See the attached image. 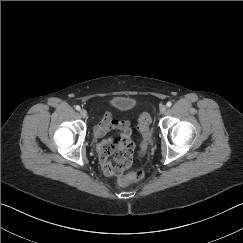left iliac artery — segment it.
<instances>
[{
  "label": "left iliac artery",
  "instance_id": "obj_1",
  "mask_svg": "<svg viewBox=\"0 0 243 243\" xmlns=\"http://www.w3.org/2000/svg\"><path fill=\"white\" fill-rule=\"evenodd\" d=\"M166 106L167 107H171L172 106V103L169 101V102H167Z\"/></svg>",
  "mask_w": 243,
  "mask_h": 243
}]
</instances>
